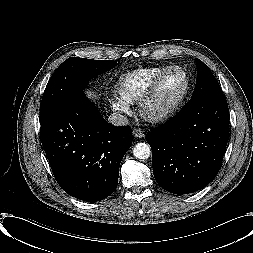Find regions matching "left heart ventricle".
Masks as SVG:
<instances>
[{
    "label": "left heart ventricle",
    "mask_w": 253,
    "mask_h": 253,
    "mask_svg": "<svg viewBox=\"0 0 253 253\" xmlns=\"http://www.w3.org/2000/svg\"><path fill=\"white\" fill-rule=\"evenodd\" d=\"M185 80L180 71H172L162 80L152 102V110L159 111L169 108L181 94Z\"/></svg>",
    "instance_id": "obj_1"
}]
</instances>
